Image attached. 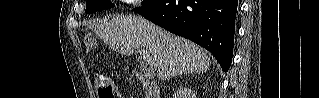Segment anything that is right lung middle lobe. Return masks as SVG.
<instances>
[{
	"mask_svg": "<svg viewBox=\"0 0 319 98\" xmlns=\"http://www.w3.org/2000/svg\"><path fill=\"white\" fill-rule=\"evenodd\" d=\"M150 0H143L142 5H146ZM114 6L109 0H87L86 13H93L101 11L106 8H112Z\"/></svg>",
	"mask_w": 319,
	"mask_h": 98,
	"instance_id": "1",
	"label": "right lung middle lobe"
}]
</instances>
